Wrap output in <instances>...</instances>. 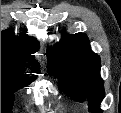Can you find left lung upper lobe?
<instances>
[{"label": "left lung upper lobe", "instance_id": "left-lung-upper-lobe-1", "mask_svg": "<svg viewBox=\"0 0 121 113\" xmlns=\"http://www.w3.org/2000/svg\"><path fill=\"white\" fill-rule=\"evenodd\" d=\"M48 72L57 77L62 90L72 99L88 100L92 113H101L104 98L100 77V57L90 49L85 34L63 35L54 50L48 53Z\"/></svg>", "mask_w": 121, "mask_h": 113}]
</instances>
